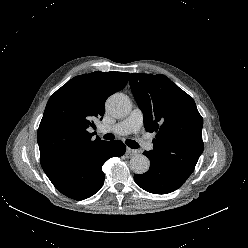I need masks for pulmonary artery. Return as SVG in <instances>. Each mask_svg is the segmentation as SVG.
<instances>
[{"label": "pulmonary artery", "mask_w": 248, "mask_h": 248, "mask_svg": "<svg viewBox=\"0 0 248 248\" xmlns=\"http://www.w3.org/2000/svg\"><path fill=\"white\" fill-rule=\"evenodd\" d=\"M143 125V113L139 108H135L130 115L123 121L113 125L98 126V131L101 133L114 132L119 135H127L130 133H137ZM145 147L150 148V144H145Z\"/></svg>", "instance_id": "obj_1"}]
</instances>
